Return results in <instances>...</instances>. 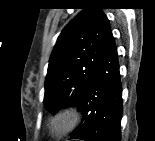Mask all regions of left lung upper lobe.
<instances>
[{
  "mask_svg": "<svg viewBox=\"0 0 155 141\" xmlns=\"http://www.w3.org/2000/svg\"><path fill=\"white\" fill-rule=\"evenodd\" d=\"M63 29L52 51L45 80L44 104L52 113L77 106L113 39L110 23L96 1Z\"/></svg>",
  "mask_w": 155,
  "mask_h": 141,
  "instance_id": "1",
  "label": "left lung upper lobe"
}]
</instances>
